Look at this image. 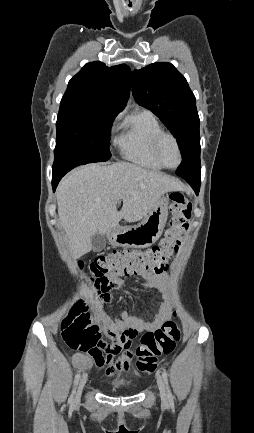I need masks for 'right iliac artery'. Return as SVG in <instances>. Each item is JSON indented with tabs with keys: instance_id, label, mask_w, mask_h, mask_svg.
I'll list each match as a JSON object with an SVG mask.
<instances>
[{
	"instance_id": "obj_1",
	"label": "right iliac artery",
	"mask_w": 254,
	"mask_h": 433,
	"mask_svg": "<svg viewBox=\"0 0 254 433\" xmlns=\"http://www.w3.org/2000/svg\"><path fill=\"white\" fill-rule=\"evenodd\" d=\"M80 376H81V375H80V372L76 374L75 379H74V386H76V385L78 384L79 379H80ZM74 394H75V387H74V389H73V391H72V394H71V396H70V398H69V402H70L71 404H72L73 401H74Z\"/></svg>"
}]
</instances>
